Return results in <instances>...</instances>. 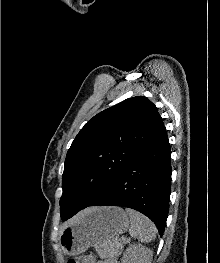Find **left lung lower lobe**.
<instances>
[{
	"mask_svg": "<svg viewBox=\"0 0 220 263\" xmlns=\"http://www.w3.org/2000/svg\"><path fill=\"white\" fill-rule=\"evenodd\" d=\"M170 192L171 150L163 126L139 149L106 190L88 206L135 209L149 217L162 236L168 216ZM76 213L66 215L63 220Z\"/></svg>",
	"mask_w": 220,
	"mask_h": 263,
	"instance_id": "obj_1",
	"label": "left lung lower lobe"
}]
</instances>
